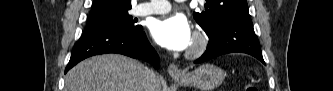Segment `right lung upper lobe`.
<instances>
[{"mask_svg": "<svg viewBox=\"0 0 333 91\" xmlns=\"http://www.w3.org/2000/svg\"><path fill=\"white\" fill-rule=\"evenodd\" d=\"M129 9L130 0H94L89 19L116 15Z\"/></svg>", "mask_w": 333, "mask_h": 91, "instance_id": "1", "label": "right lung upper lobe"}]
</instances>
